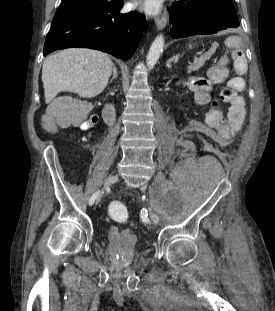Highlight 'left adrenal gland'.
Instances as JSON below:
<instances>
[{"label": "left adrenal gland", "instance_id": "left-adrenal-gland-1", "mask_svg": "<svg viewBox=\"0 0 275 311\" xmlns=\"http://www.w3.org/2000/svg\"><path fill=\"white\" fill-rule=\"evenodd\" d=\"M178 59H179V55H174L173 57H171V58L167 61L166 66L169 67V65H170L171 62L176 63V62L178 61Z\"/></svg>", "mask_w": 275, "mask_h": 311}]
</instances>
